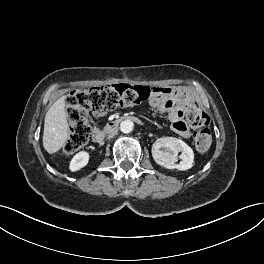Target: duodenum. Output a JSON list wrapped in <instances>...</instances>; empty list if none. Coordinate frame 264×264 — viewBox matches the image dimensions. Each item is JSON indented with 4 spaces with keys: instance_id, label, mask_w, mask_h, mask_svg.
Masks as SVG:
<instances>
[{
    "instance_id": "duodenum-1",
    "label": "duodenum",
    "mask_w": 264,
    "mask_h": 264,
    "mask_svg": "<svg viewBox=\"0 0 264 264\" xmlns=\"http://www.w3.org/2000/svg\"><path fill=\"white\" fill-rule=\"evenodd\" d=\"M123 121H135L138 123L140 122V120L137 119L136 117L128 116V115L114 119V120H111L105 125L103 130L96 131L94 133V136H93L94 141L96 143H102L104 141L105 137L108 134H111L114 130H116Z\"/></svg>"
}]
</instances>
